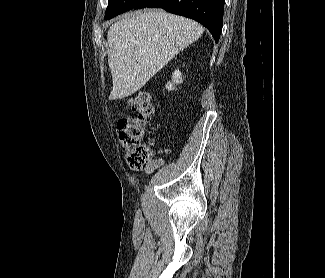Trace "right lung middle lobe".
I'll return each mask as SVG.
<instances>
[{"mask_svg":"<svg viewBox=\"0 0 325 278\" xmlns=\"http://www.w3.org/2000/svg\"><path fill=\"white\" fill-rule=\"evenodd\" d=\"M137 0H109L105 18L111 19L120 13L132 9Z\"/></svg>","mask_w":325,"mask_h":278,"instance_id":"1","label":"right lung middle lobe"}]
</instances>
